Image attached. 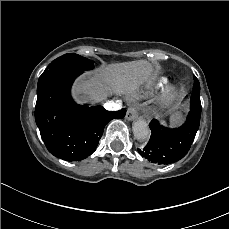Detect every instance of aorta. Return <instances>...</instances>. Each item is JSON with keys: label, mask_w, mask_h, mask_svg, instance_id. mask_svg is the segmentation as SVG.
I'll list each match as a JSON object with an SVG mask.
<instances>
[{"label": "aorta", "mask_w": 229, "mask_h": 229, "mask_svg": "<svg viewBox=\"0 0 229 229\" xmlns=\"http://www.w3.org/2000/svg\"><path fill=\"white\" fill-rule=\"evenodd\" d=\"M133 134L139 141H145L150 136V129L146 121L138 119L133 123L132 126Z\"/></svg>", "instance_id": "obj_1"}]
</instances>
